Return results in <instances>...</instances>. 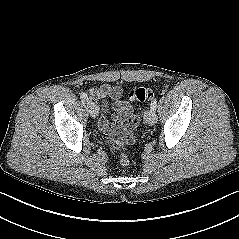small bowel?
Masks as SVG:
<instances>
[{
  "instance_id": "c3829d8e",
  "label": "small bowel",
  "mask_w": 239,
  "mask_h": 239,
  "mask_svg": "<svg viewBox=\"0 0 239 239\" xmlns=\"http://www.w3.org/2000/svg\"><path fill=\"white\" fill-rule=\"evenodd\" d=\"M89 95L98 102L101 110L99 127L113 146L118 145L114 138L118 135H126L132 141L133 131L137 126V120L133 116L130 105L120 100L123 90L120 86L103 84L88 90ZM113 103H109L108 100ZM112 117L113 121L110 120Z\"/></svg>"
}]
</instances>
